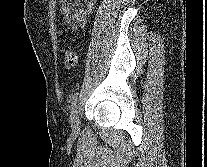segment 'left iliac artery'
<instances>
[{"label":"left iliac artery","instance_id":"44dca946","mask_svg":"<svg viewBox=\"0 0 207 167\" xmlns=\"http://www.w3.org/2000/svg\"><path fill=\"white\" fill-rule=\"evenodd\" d=\"M77 99H78V92L74 93L71 96V107L74 108L76 106L77 103Z\"/></svg>","mask_w":207,"mask_h":167}]
</instances>
